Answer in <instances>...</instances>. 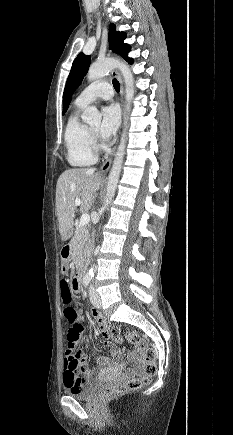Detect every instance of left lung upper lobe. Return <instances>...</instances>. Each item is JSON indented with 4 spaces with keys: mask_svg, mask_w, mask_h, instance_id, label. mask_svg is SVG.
<instances>
[{
    "mask_svg": "<svg viewBox=\"0 0 233 435\" xmlns=\"http://www.w3.org/2000/svg\"><path fill=\"white\" fill-rule=\"evenodd\" d=\"M126 38V33L117 32L115 25L111 24L109 27V48L122 56L130 64L133 59L128 57V52L131 50L130 45L125 44L123 41ZM90 65V56L80 53L72 64L70 74L68 76L66 86L63 93V114L67 111L71 97L75 89L81 84L84 76L86 75Z\"/></svg>",
    "mask_w": 233,
    "mask_h": 435,
    "instance_id": "1",
    "label": "left lung upper lobe"
}]
</instances>
